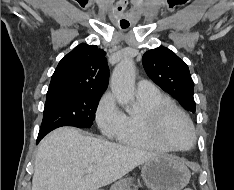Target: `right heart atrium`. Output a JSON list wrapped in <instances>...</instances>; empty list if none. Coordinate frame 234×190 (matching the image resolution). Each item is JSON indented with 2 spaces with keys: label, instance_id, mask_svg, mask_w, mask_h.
<instances>
[{
  "label": "right heart atrium",
  "instance_id": "obj_1",
  "mask_svg": "<svg viewBox=\"0 0 234 190\" xmlns=\"http://www.w3.org/2000/svg\"><path fill=\"white\" fill-rule=\"evenodd\" d=\"M123 115L112 93L107 92L100 98L95 111V119L104 135L116 136L121 127Z\"/></svg>",
  "mask_w": 234,
  "mask_h": 190
}]
</instances>
